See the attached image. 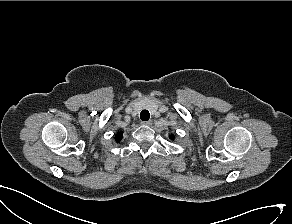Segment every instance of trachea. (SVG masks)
<instances>
[{
    "label": "trachea",
    "mask_w": 292,
    "mask_h": 224,
    "mask_svg": "<svg viewBox=\"0 0 292 224\" xmlns=\"http://www.w3.org/2000/svg\"><path fill=\"white\" fill-rule=\"evenodd\" d=\"M140 118L142 121H148L150 118V113L147 110H142L140 113Z\"/></svg>",
    "instance_id": "obj_1"
}]
</instances>
